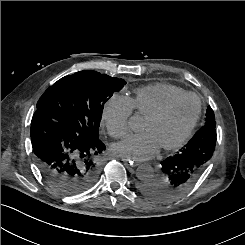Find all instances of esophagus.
<instances>
[{"instance_id": "esophagus-1", "label": "esophagus", "mask_w": 245, "mask_h": 245, "mask_svg": "<svg viewBox=\"0 0 245 245\" xmlns=\"http://www.w3.org/2000/svg\"><path fill=\"white\" fill-rule=\"evenodd\" d=\"M121 160L128 163V166L130 167H137L140 163L134 159H129V158H125V157H121Z\"/></svg>"}]
</instances>
